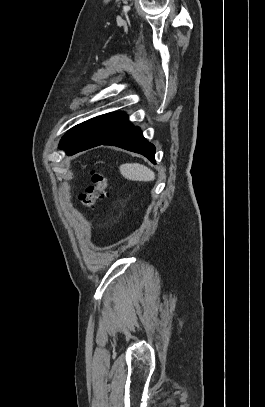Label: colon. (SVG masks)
Segmentation results:
<instances>
[{"instance_id":"obj_1","label":"colon","mask_w":265,"mask_h":407,"mask_svg":"<svg viewBox=\"0 0 265 407\" xmlns=\"http://www.w3.org/2000/svg\"><path fill=\"white\" fill-rule=\"evenodd\" d=\"M90 181V185L80 195V202L88 211L93 210L95 204L106 197L108 185L106 176L96 170L90 171Z\"/></svg>"}]
</instances>
